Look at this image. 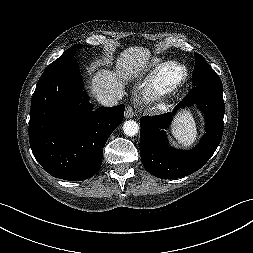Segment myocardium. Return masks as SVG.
<instances>
[{
  "label": "myocardium",
  "mask_w": 253,
  "mask_h": 253,
  "mask_svg": "<svg viewBox=\"0 0 253 253\" xmlns=\"http://www.w3.org/2000/svg\"><path fill=\"white\" fill-rule=\"evenodd\" d=\"M170 70H178L177 76H169ZM189 77L188 68L177 61L163 63L157 68L149 81L147 97L153 101H160L162 96L176 93L184 87ZM158 107L165 108L164 102H158Z\"/></svg>",
  "instance_id": "obj_1"
}]
</instances>
